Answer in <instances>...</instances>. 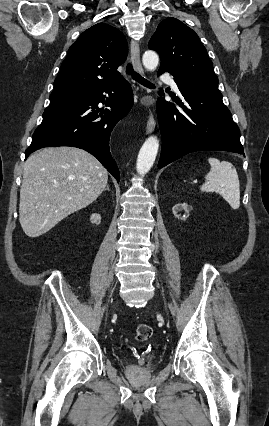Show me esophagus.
Returning a JSON list of instances; mask_svg holds the SVG:
<instances>
[{"label": "esophagus", "instance_id": "esophagus-1", "mask_svg": "<svg viewBox=\"0 0 269 426\" xmlns=\"http://www.w3.org/2000/svg\"><path fill=\"white\" fill-rule=\"evenodd\" d=\"M130 54H131V60H132L135 71L140 75H144V70L140 62V48L136 40H132L130 43ZM154 129H155V120L153 118V115L150 114L148 117L147 125H146V132L150 134L154 131Z\"/></svg>", "mask_w": 269, "mask_h": 426}]
</instances>
